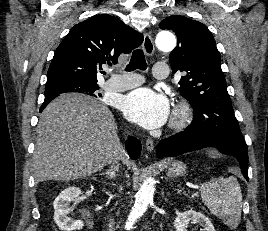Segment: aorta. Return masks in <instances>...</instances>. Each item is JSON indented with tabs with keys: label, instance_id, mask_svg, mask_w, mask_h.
Masks as SVG:
<instances>
[{
	"label": "aorta",
	"instance_id": "aorta-1",
	"mask_svg": "<svg viewBox=\"0 0 268 231\" xmlns=\"http://www.w3.org/2000/svg\"><path fill=\"white\" fill-rule=\"evenodd\" d=\"M156 44L162 51H171L176 46V38L169 32H161L157 35ZM154 192V179L147 178L136 194L135 203L126 222L127 230H130L134 223L145 213L149 203L153 201Z\"/></svg>",
	"mask_w": 268,
	"mask_h": 231
}]
</instances>
